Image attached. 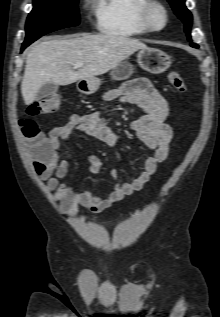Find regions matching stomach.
I'll return each instance as SVG.
<instances>
[{"label": "stomach", "mask_w": 220, "mask_h": 317, "mask_svg": "<svg viewBox=\"0 0 220 317\" xmlns=\"http://www.w3.org/2000/svg\"><path fill=\"white\" fill-rule=\"evenodd\" d=\"M137 62L142 69L153 74L166 71L171 65V58L165 52L156 48H144L137 54ZM133 73V66L128 61H121L110 73L114 80L128 79ZM101 84V80L94 77L79 80L77 88L81 93H95Z\"/></svg>", "instance_id": "stomach-1"}]
</instances>
